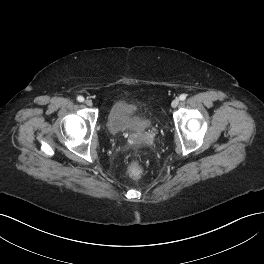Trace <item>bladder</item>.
I'll return each mask as SVG.
<instances>
[{
	"label": "bladder",
	"mask_w": 264,
	"mask_h": 264,
	"mask_svg": "<svg viewBox=\"0 0 264 264\" xmlns=\"http://www.w3.org/2000/svg\"><path fill=\"white\" fill-rule=\"evenodd\" d=\"M106 123L109 131L116 134L144 130L148 127L149 120L143 116L137 105L126 100H118L109 108Z\"/></svg>",
	"instance_id": "31cf9c89"
}]
</instances>
